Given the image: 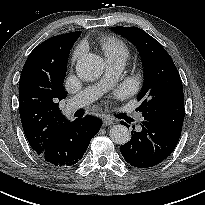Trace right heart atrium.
I'll use <instances>...</instances> for the list:
<instances>
[{
  "instance_id": "obj_1",
  "label": "right heart atrium",
  "mask_w": 205,
  "mask_h": 205,
  "mask_svg": "<svg viewBox=\"0 0 205 205\" xmlns=\"http://www.w3.org/2000/svg\"><path fill=\"white\" fill-rule=\"evenodd\" d=\"M83 50H84V49H83L82 46H78V47L75 49L74 53H73L72 59H73L74 61L77 60V59L82 55Z\"/></svg>"
}]
</instances>
